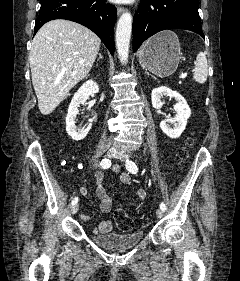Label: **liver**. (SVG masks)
<instances>
[{
  "mask_svg": "<svg viewBox=\"0 0 240 281\" xmlns=\"http://www.w3.org/2000/svg\"><path fill=\"white\" fill-rule=\"evenodd\" d=\"M100 39L88 28L64 19L43 25L29 54L38 108L49 115L66 94L90 72Z\"/></svg>",
  "mask_w": 240,
  "mask_h": 281,
  "instance_id": "liver-1",
  "label": "liver"
}]
</instances>
